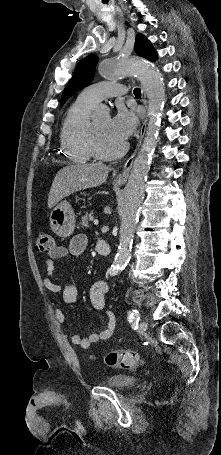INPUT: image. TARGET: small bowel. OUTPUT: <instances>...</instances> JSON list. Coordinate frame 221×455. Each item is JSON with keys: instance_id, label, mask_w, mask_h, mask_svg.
Masks as SVG:
<instances>
[{"instance_id": "1", "label": "small bowel", "mask_w": 221, "mask_h": 455, "mask_svg": "<svg viewBox=\"0 0 221 455\" xmlns=\"http://www.w3.org/2000/svg\"><path fill=\"white\" fill-rule=\"evenodd\" d=\"M88 245V240L83 234L75 235L67 247L54 246L49 252L48 258L45 261L46 276L43 278V285L49 291L60 294L64 303L72 304L77 298V288L70 282L58 283L53 279L54 274V260L56 259H70L80 256L84 253ZM108 284L103 280H98L90 288L89 296L94 309L103 311L105 308V298L108 293ZM107 325L100 331H95L87 337H81L78 334L71 335V342L81 347L82 349H89L93 343H98L111 338L116 327V316L111 311L105 312ZM54 317L59 323L65 322V315L60 308H55Z\"/></svg>"}]
</instances>
